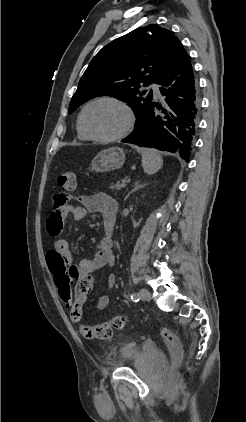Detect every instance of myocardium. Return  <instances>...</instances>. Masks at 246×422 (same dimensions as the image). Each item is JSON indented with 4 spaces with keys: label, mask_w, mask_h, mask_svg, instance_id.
Wrapping results in <instances>:
<instances>
[{
    "label": "myocardium",
    "mask_w": 246,
    "mask_h": 422,
    "mask_svg": "<svg viewBox=\"0 0 246 422\" xmlns=\"http://www.w3.org/2000/svg\"><path fill=\"white\" fill-rule=\"evenodd\" d=\"M100 102H112L118 105L124 111L125 116H126V124L124 128L117 134H114L112 136H107V137L97 136L93 134L92 132H90V130L88 129L86 125V121H85L86 112L92 105L100 103ZM79 120H80V126L83 132L90 140L101 142V143H111V142H115L117 140L124 138L131 132V130L134 127L135 116L129 104L123 101L122 99L117 98L115 96H101V97L91 100L83 107L79 116Z\"/></svg>",
    "instance_id": "1"
}]
</instances>
